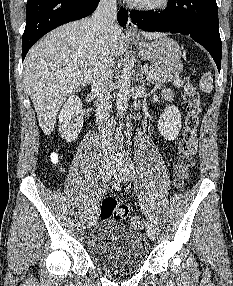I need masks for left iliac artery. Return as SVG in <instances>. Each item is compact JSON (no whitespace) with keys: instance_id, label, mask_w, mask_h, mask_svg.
<instances>
[{"instance_id":"obj_1","label":"left iliac artery","mask_w":233,"mask_h":286,"mask_svg":"<svg viewBox=\"0 0 233 286\" xmlns=\"http://www.w3.org/2000/svg\"><path fill=\"white\" fill-rule=\"evenodd\" d=\"M124 155H125L126 166H127L128 170H129V172L131 173V176H132L133 181H134V186H135L136 189H138V180L136 178V172H135V169H134V165H133L132 159L129 156L128 151H124ZM138 197H139L140 205H141V207L143 209L144 214L146 215L148 221L152 223L153 218L150 215L147 206L145 205L144 199L142 198V194L138 193Z\"/></svg>"}]
</instances>
